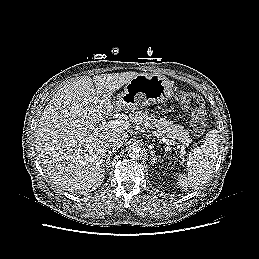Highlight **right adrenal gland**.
Segmentation results:
<instances>
[{"label": "right adrenal gland", "mask_w": 259, "mask_h": 259, "mask_svg": "<svg viewBox=\"0 0 259 259\" xmlns=\"http://www.w3.org/2000/svg\"><path fill=\"white\" fill-rule=\"evenodd\" d=\"M115 152V150L109 151L106 158H105V163H106V168L108 169V165L110 163V157L113 155V153Z\"/></svg>", "instance_id": "1"}]
</instances>
